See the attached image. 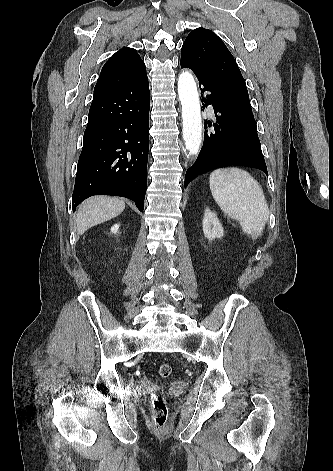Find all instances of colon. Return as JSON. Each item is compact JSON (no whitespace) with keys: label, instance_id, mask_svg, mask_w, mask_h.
<instances>
[{"label":"colon","instance_id":"obj_1","mask_svg":"<svg viewBox=\"0 0 333 471\" xmlns=\"http://www.w3.org/2000/svg\"><path fill=\"white\" fill-rule=\"evenodd\" d=\"M158 373L161 378H168L172 373V367L163 363L159 366ZM151 414L154 428L158 432L163 431L168 418V407L161 395L152 396Z\"/></svg>","mask_w":333,"mask_h":471}]
</instances>
